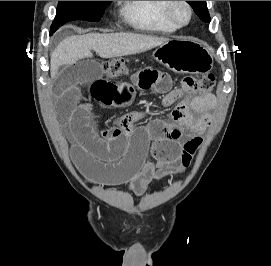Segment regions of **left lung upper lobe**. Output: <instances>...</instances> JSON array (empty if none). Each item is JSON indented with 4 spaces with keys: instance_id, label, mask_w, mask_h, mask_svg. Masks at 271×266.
Returning <instances> with one entry per match:
<instances>
[{
    "instance_id": "obj_1",
    "label": "left lung upper lobe",
    "mask_w": 271,
    "mask_h": 266,
    "mask_svg": "<svg viewBox=\"0 0 271 266\" xmlns=\"http://www.w3.org/2000/svg\"><path fill=\"white\" fill-rule=\"evenodd\" d=\"M194 9L195 13L204 22H210V16L207 9L206 1H187Z\"/></svg>"
}]
</instances>
